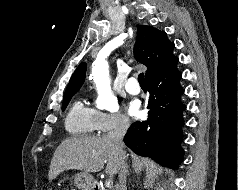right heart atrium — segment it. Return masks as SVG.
I'll return each instance as SVG.
<instances>
[{
  "instance_id": "right-heart-atrium-1",
  "label": "right heart atrium",
  "mask_w": 238,
  "mask_h": 190,
  "mask_svg": "<svg viewBox=\"0 0 238 190\" xmlns=\"http://www.w3.org/2000/svg\"><path fill=\"white\" fill-rule=\"evenodd\" d=\"M96 130L105 134L112 131L126 130L130 126L129 117L120 112H105L95 110Z\"/></svg>"
}]
</instances>
